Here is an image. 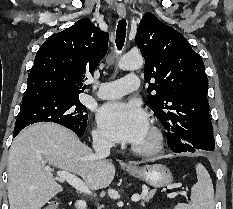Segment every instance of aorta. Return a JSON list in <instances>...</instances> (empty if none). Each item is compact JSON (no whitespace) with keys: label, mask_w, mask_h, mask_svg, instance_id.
<instances>
[{"label":"aorta","mask_w":233,"mask_h":209,"mask_svg":"<svg viewBox=\"0 0 233 209\" xmlns=\"http://www.w3.org/2000/svg\"><path fill=\"white\" fill-rule=\"evenodd\" d=\"M144 63L140 54H126L118 62V67L122 70H135L142 67Z\"/></svg>","instance_id":"aorta-1"}]
</instances>
